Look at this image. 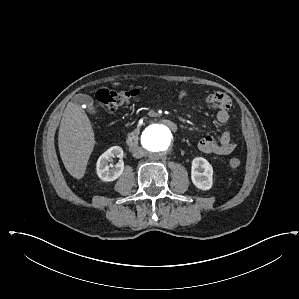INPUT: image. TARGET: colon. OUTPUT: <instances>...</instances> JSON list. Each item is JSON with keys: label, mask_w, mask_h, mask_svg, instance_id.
Instances as JSON below:
<instances>
[{"label": "colon", "mask_w": 299, "mask_h": 299, "mask_svg": "<svg viewBox=\"0 0 299 299\" xmlns=\"http://www.w3.org/2000/svg\"><path fill=\"white\" fill-rule=\"evenodd\" d=\"M140 93L139 89L131 90H111L101 89L97 93V100L101 107L107 110H115L120 106L127 104L132 98ZM232 169H238L241 166L239 158H232L229 162Z\"/></svg>", "instance_id": "obj_1"}]
</instances>
